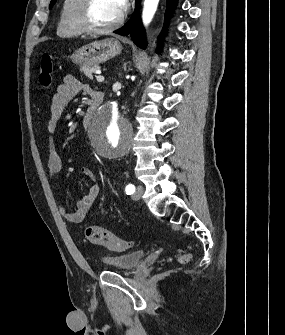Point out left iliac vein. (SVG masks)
Returning <instances> with one entry per match:
<instances>
[{
	"mask_svg": "<svg viewBox=\"0 0 285 335\" xmlns=\"http://www.w3.org/2000/svg\"><path fill=\"white\" fill-rule=\"evenodd\" d=\"M144 192V188L142 185H137L136 190L134 192V194L132 195V198L135 200H139L140 197L142 196Z\"/></svg>",
	"mask_w": 285,
	"mask_h": 335,
	"instance_id": "4c4485c4",
	"label": "left iliac vein"
}]
</instances>
